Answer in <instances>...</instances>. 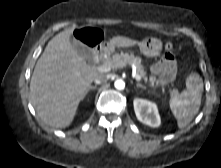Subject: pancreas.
I'll list each match as a JSON object with an SVG mask.
<instances>
[{"mask_svg": "<svg viewBox=\"0 0 221 168\" xmlns=\"http://www.w3.org/2000/svg\"><path fill=\"white\" fill-rule=\"evenodd\" d=\"M104 65H110L114 68L123 67L126 64H134L136 67V74L140 76L145 82H148L144 66L142 65V60L139 57H135L133 54L121 53L115 54L112 57L105 59L103 61ZM149 82L153 85L156 81L155 77H150ZM164 91V89H163ZM178 94L176 90L171 92V95L174 96Z\"/></svg>", "mask_w": 221, "mask_h": 168, "instance_id": "1", "label": "pancreas"}]
</instances>
